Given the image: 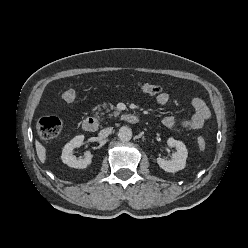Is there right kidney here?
<instances>
[{
  "label": "right kidney",
  "mask_w": 248,
  "mask_h": 248,
  "mask_svg": "<svg viewBox=\"0 0 248 248\" xmlns=\"http://www.w3.org/2000/svg\"><path fill=\"white\" fill-rule=\"evenodd\" d=\"M84 135H79L73 138L70 142H68L62 151V162L67 164L68 166L76 169L86 168L92 162V154L89 151L84 153V159H77L73 155V150L77 147H80L83 143Z\"/></svg>",
  "instance_id": "obj_1"
}]
</instances>
